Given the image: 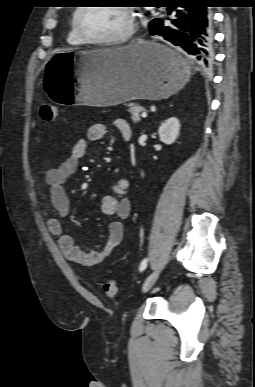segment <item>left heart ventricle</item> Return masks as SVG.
Masks as SVG:
<instances>
[{
  "mask_svg": "<svg viewBox=\"0 0 255 387\" xmlns=\"http://www.w3.org/2000/svg\"><path fill=\"white\" fill-rule=\"evenodd\" d=\"M80 24L88 36L110 39L124 34L129 20L118 7H88L80 15Z\"/></svg>",
  "mask_w": 255,
  "mask_h": 387,
  "instance_id": "b2bd125f",
  "label": "left heart ventricle"
}]
</instances>
